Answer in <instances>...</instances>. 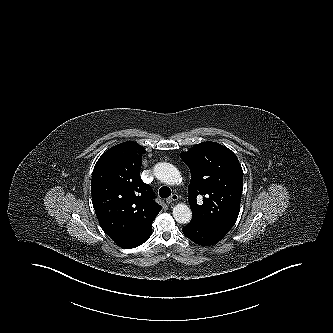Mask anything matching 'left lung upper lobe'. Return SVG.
I'll return each mask as SVG.
<instances>
[{
	"instance_id": "left-lung-upper-lobe-1",
	"label": "left lung upper lobe",
	"mask_w": 333,
	"mask_h": 333,
	"mask_svg": "<svg viewBox=\"0 0 333 333\" xmlns=\"http://www.w3.org/2000/svg\"><path fill=\"white\" fill-rule=\"evenodd\" d=\"M181 159L191 171L192 219L228 233L237 220L243 189V170L236 155L218 143L203 142L182 153Z\"/></svg>"
}]
</instances>
